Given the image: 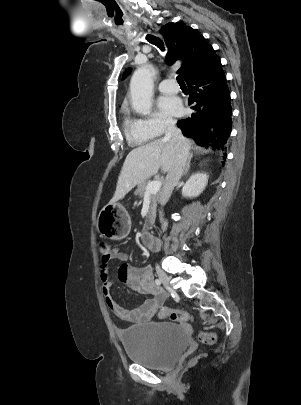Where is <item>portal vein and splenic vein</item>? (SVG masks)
<instances>
[{
    "mask_svg": "<svg viewBox=\"0 0 301 405\" xmlns=\"http://www.w3.org/2000/svg\"><path fill=\"white\" fill-rule=\"evenodd\" d=\"M161 185L162 183L160 181L150 182L146 188L145 194H156L160 190Z\"/></svg>",
    "mask_w": 301,
    "mask_h": 405,
    "instance_id": "obj_1",
    "label": "portal vein and splenic vein"
}]
</instances>
